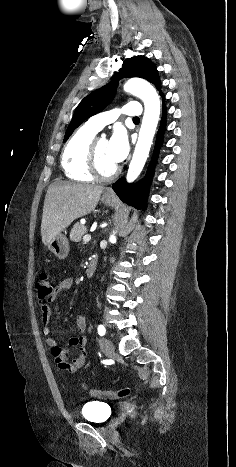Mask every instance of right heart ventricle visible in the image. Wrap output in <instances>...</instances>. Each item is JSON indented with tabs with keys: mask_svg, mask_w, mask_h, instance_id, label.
<instances>
[{
	"mask_svg": "<svg viewBox=\"0 0 236 467\" xmlns=\"http://www.w3.org/2000/svg\"><path fill=\"white\" fill-rule=\"evenodd\" d=\"M96 133V130L84 125L67 142L61 157L62 169L67 178L80 182L94 179L88 170V151Z\"/></svg>",
	"mask_w": 236,
	"mask_h": 467,
	"instance_id": "1",
	"label": "right heart ventricle"
}]
</instances>
